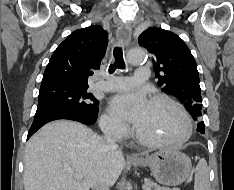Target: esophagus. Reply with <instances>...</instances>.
<instances>
[{"mask_svg":"<svg viewBox=\"0 0 234 190\" xmlns=\"http://www.w3.org/2000/svg\"><path fill=\"white\" fill-rule=\"evenodd\" d=\"M131 27L129 24L121 25L117 32L116 37L119 42L123 43L124 45H128L131 41ZM130 158H135V155H129Z\"/></svg>","mask_w":234,"mask_h":190,"instance_id":"obj_1","label":"esophagus"}]
</instances>
